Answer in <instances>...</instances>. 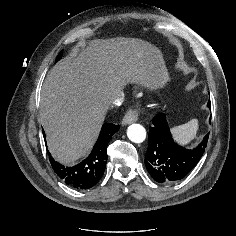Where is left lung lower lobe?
I'll return each instance as SVG.
<instances>
[{
	"label": "left lung lower lobe",
	"instance_id": "obj_1",
	"mask_svg": "<svg viewBox=\"0 0 236 236\" xmlns=\"http://www.w3.org/2000/svg\"><path fill=\"white\" fill-rule=\"evenodd\" d=\"M149 128V146L145 165L151 177L159 183H174L183 179L202 157L209 134L194 149H185L172 138L165 115H156Z\"/></svg>",
	"mask_w": 236,
	"mask_h": 236
}]
</instances>
